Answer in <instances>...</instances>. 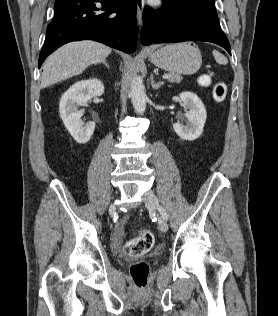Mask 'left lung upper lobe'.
Instances as JSON below:
<instances>
[{"label":"left lung upper lobe","mask_w":278,"mask_h":316,"mask_svg":"<svg viewBox=\"0 0 278 316\" xmlns=\"http://www.w3.org/2000/svg\"><path fill=\"white\" fill-rule=\"evenodd\" d=\"M179 14H190L220 26L215 0H166Z\"/></svg>","instance_id":"1"}]
</instances>
